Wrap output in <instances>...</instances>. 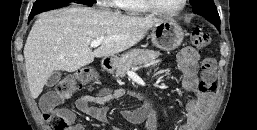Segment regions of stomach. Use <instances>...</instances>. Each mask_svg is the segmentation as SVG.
I'll list each match as a JSON object with an SVG mask.
<instances>
[{
    "instance_id": "obj_1",
    "label": "stomach",
    "mask_w": 257,
    "mask_h": 130,
    "mask_svg": "<svg viewBox=\"0 0 257 130\" xmlns=\"http://www.w3.org/2000/svg\"><path fill=\"white\" fill-rule=\"evenodd\" d=\"M150 37L152 43L159 49L172 51L182 43L184 32L177 21L165 18L153 26ZM118 61L117 56H109L103 59L102 65L107 68H115Z\"/></svg>"
}]
</instances>
